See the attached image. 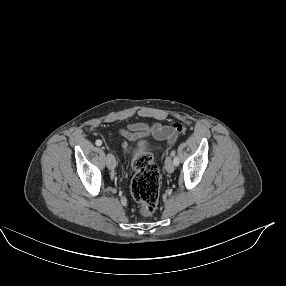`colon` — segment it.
Segmentation results:
<instances>
[{"instance_id": "obj_1", "label": "colon", "mask_w": 286, "mask_h": 286, "mask_svg": "<svg viewBox=\"0 0 286 286\" xmlns=\"http://www.w3.org/2000/svg\"><path fill=\"white\" fill-rule=\"evenodd\" d=\"M136 174L131 182V193L139 204V213L143 217L153 215L158 206L160 174L157 166L148 155L135 160Z\"/></svg>"}]
</instances>
